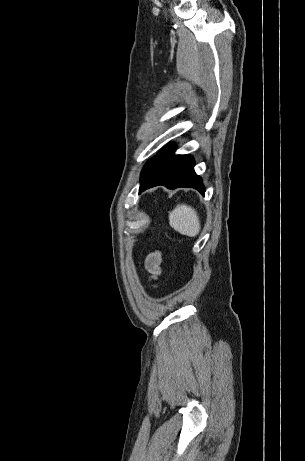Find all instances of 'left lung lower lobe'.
<instances>
[{
    "instance_id": "obj_1",
    "label": "left lung lower lobe",
    "mask_w": 305,
    "mask_h": 461,
    "mask_svg": "<svg viewBox=\"0 0 305 461\" xmlns=\"http://www.w3.org/2000/svg\"><path fill=\"white\" fill-rule=\"evenodd\" d=\"M176 146L169 145L152 158L149 172L141 178L140 192L164 185L169 189L190 187L204 195L202 180L194 172V160L189 155H173Z\"/></svg>"
}]
</instances>
